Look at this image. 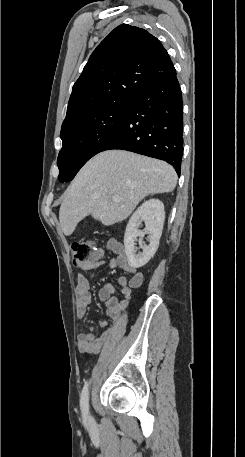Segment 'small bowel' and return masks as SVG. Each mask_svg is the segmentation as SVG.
Masks as SVG:
<instances>
[{
	"instance_id": "small-bowel-1",
	"label": "small bowel",
	"mask_w": 245,
	"mask_h": 457,
	"mask_svg": "<svg viewBox=\"0 0 245 457\" xmlns=\"http://www.w3.org/2000/svg\"><path fill=\"white\" fill-rule=\"evenodd\" d=\"M106 247L115 253L117 256L107 262L101 261L102 251L98 250L97 255L89 262L80 266L83 270L103 266L107 269L121 268L130 274V279L119 277L117 285L119 288V296H115V288L112 284H104L99 291V299L107 308L109 317L113 320L110 325L102 322L101 325L105 328L99 337H95L93 328L86 325V329L77 334L78 349L81 353L96 354L103 346L112 347L117 345L124 333L123 326L119 323L121 314L128 306V301L132 290L141 286L143 282V274L131 265L124 253L123 245L115 239H109L106 242ZM76 314L80 320H83L87 315V308L91 302L90 281L83 275L79 274L76 281Z\"/></svg>"
}]
</instances>
